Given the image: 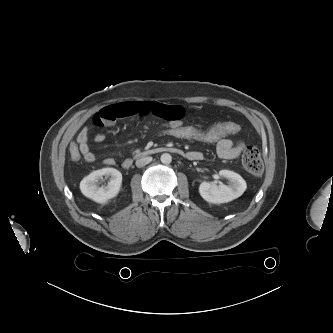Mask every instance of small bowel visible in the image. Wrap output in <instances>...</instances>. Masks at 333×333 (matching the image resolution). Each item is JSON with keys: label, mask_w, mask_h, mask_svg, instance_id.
Listing matches in <instances>:
<instances>
[{"label": "small bowel", "mask_w": 333, "mask_h": 333, "mask_svg": "<svg viewBox=\"0 0 333 333\" xmlns=\"http://www.w3.org/2000/svg\"><path fill=\"white\" fill-rule=\"evenodd\" d=\"M147 115L156 116L166 123H183L185 110L177 105L157 101H129L103 107L94 114L92 120L95 125L109 126L119 119ZM104 140L105 136L103 134H98L95 137L96 143H102ZM76 141L83 158L89 163L95 162L97 156L90 149L89 129L87 127H83L79 131ZM244 147L243 141H233L230 138H225L217 142L216 152L220 158L231 160L239 157ZM186 155L191 160L202 158V154L196 151L188 152ZM103 163L107 166H113L115 160L107 157L103 160Z\"/></svg>", "instance_id": "c3829d8e"}]
</instances>
